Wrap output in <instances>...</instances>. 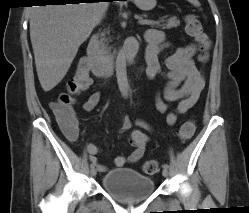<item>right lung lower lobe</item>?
<instances>
[{
    "mask_svg": "<svg viewBox=\"0 0 249 213\" xmlns=\"http://www.w3.org/2000/svg\"><path fill=\"white\" fill-rule=\"evenodd\" d=\"M44 2L42 3H45V4H48V3H54V4H66V3H78L83 1V0H43ZM92 1V0H91ZM105 1H113V0H105ZM93 3V2H92Z\"/></svg>",
    "mask_w": 249,
    "mask_h": 213,
    "instance_id": "obj_1",
    "label": "right lung lower lobe"
}]
</instances>
